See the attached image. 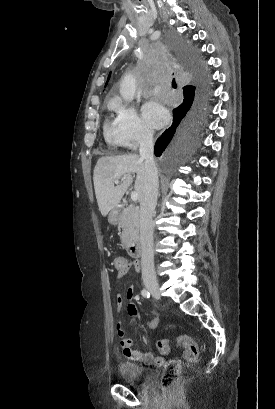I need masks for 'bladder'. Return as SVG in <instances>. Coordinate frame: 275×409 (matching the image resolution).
Listing matches in <instances>:
<instances>
[{"label": "bladder", "mask_w": 275, "mask_h": 409, "mask_svg": "<svg viewBox=\"0 0 275 409\" xmlns=\"http://www.w3.org/2000/svg\"><path fill=\"white\" fill-rule=\"evenodd\" d=\"M119 379L127 386L142 389L145 382L154 380L153 368L141 366L133 361H121L117 365Z\"/></svg>", "instance_id": "1"}]
</instances>
